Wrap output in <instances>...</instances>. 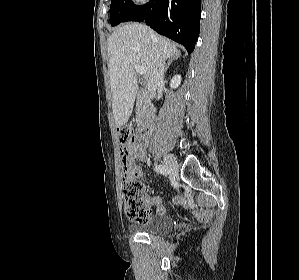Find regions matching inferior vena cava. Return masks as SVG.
Masks as SVG:
<instances>
[{"mask_svg":"<svg viewBox=\"0 0 299 280\" xmlns=\"http://www.w3.org/2000/svg\"><path fill=\"white\" fill-rule=\"evenodd\" d=\"M165 71V60H157L153 72L147 80V89L151 98H154L156 95L157 86L163 82Z\"/></svg>","mask_w":299,"mask_h":280,"instance_id":"inferior-vena-cava-1","label":"inferior vena cava"}]
</instances>
